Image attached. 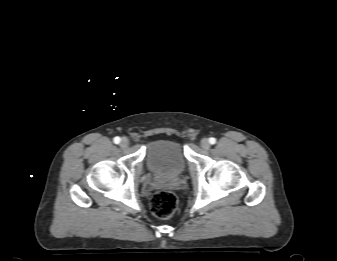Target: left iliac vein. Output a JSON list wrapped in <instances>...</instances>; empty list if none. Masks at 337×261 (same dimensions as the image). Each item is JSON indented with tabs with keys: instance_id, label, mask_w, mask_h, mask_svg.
Returning <instances> with one entry per match:
<instances>
[{
	"instance_id": "left-iliac-vein-1",
	"label": "left iliac vein",
	"mask_w": 337,
	"mask_h": 261,
	"mask_svg": "<svg viewBox=\"0 0 337 261\" xmlns=\"http://www.w3.org/2000/svg\"><path fill=\"white\" fill-rule=\"evenodd\" d=\"M200 144L204 150H208L210 148V143L206 138L202 139Z\"/></svg>"
}]
</instances>
